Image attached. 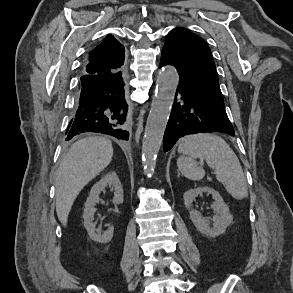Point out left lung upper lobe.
<instances>
[{
    "label": "left lung upper lobe",
    "instance_id": "1",
    "mask_svg": "<svg viewBox=\"0 0 293 293\" xmlns=\"http://www.w3.org/2000/svg\"><path fill=\"white\" fill-rule=\"evenodd\" d=\"M179 73V81L223 99L216 67L208 44L185 28H175L167 35L162 49Z\"/></svg>",
    "mask_w": 293,
    "mask_h": 293
}]
</instances>
